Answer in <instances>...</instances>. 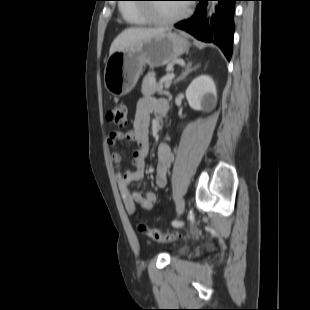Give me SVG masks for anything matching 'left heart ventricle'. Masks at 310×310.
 <instances>
[{"instance_id":"1","label":"left heart ventricle","mask_w":310,"mask_h":310,"mask_svg":"<svg viewBox=\"0 0 310 310\" xmlns=\"http://www.w3.org/2000/svg\"><path fill=\"white\" fill-rule=\"evenodd\" d=\"M157 16H173L182 10L181 5L177 4H160L154 8Z\"/></svg>"}]
</instances>
